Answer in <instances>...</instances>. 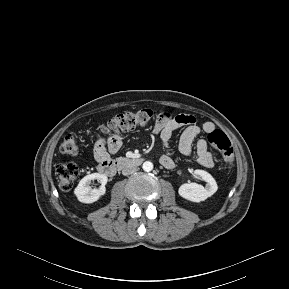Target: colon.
I'll return each instance as SVG.
<instances>
[{
	"label": "colon",
	"instance_id": "colon-1",
	"mask_svg": "<svg viewBox=\"0 0 289 289\" xmlns=\"http://www.w3.org/2000/svg\"><path fill=\"white\" fill-rule=\"evenodd\" d=\"M161 113L150 109H142L136 112H124L118 114L100 127V133L107 137L132 130L138 126H144L155 118H159ZM208 141L219 152L222 153L228 168L233 167V151L230 140L226 134L215 129L208 134ZM79 146L74 135H67L60 144V152L69 156L79 154ZM79 176L78 167L72 163H63L56 167V178L61 189L69 191L76 183Z\"/></svg>",
	"mask_w": 289,
	"mask_h": 289
}]
</instances>
